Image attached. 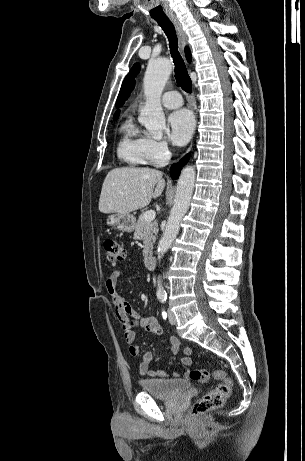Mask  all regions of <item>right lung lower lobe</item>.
<instances>
[{"label": "right lung lower lobe", "instance_id": "98d812e1", "mask_svg": "<svg viewBox=\"0 0 305 461\" xmlns=\"http://www.w3.org/2000/svg\"><path fill=\"white\" fill-rule=\"evenodd\" d=\"M188 159H189V154L186 155L182 160H180L179 163L173 164V165L171 166L170 172H171V177H172L173 179H176V178L179 176L180 170H181V168H182V165L186 164V162L188 161Z\"/></svg>", "mask_w": 305, "mask_h": 461}]
</instances>
